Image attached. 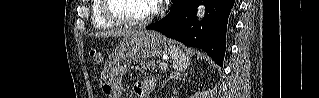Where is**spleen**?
Returning a JSON list of instances; mask_svg holds the SVG:
<instances>
[{
  "instance_id": "1",
  "label": "spleen",
  "mask_w": 319,
  "mask_h": 98,
  "mask_svg": "<svg viewBox=\"0 0 319 98\" xmlns=\"http://www.w3.org/2000/svg\"><path fill=\"white\" fill-rule=\"evenodd\" d=\"M168 50L173 66L178 71H183L190 65V58L178 46L171 45Z\"/></svg>"
}]
</instances>
